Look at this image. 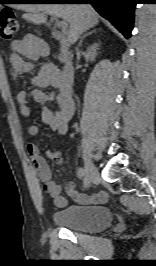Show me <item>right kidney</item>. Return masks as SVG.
I'll return each instance as SVG.
<instances>
[{"label":"right kidney","instance_id":"obj_1","mask_svg":"<svg viewBox=\"0 0 156 266\" xmlns=\"http://www.w3.org/2000/svg\"><path fill=\"white\" fill-rule=\"evenodd\" d=\"M99 49V43H94L93 45H91L90 47H88L87 49V55L88 58L91 61H95V58L97 56V50Z\"/></svg>","mask_w":156,"mask_h":266}]
</instances>
